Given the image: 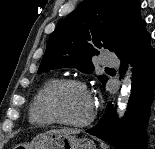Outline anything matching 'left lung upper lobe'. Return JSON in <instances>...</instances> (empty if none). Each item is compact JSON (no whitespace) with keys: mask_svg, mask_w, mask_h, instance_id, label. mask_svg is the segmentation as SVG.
I'll list each match as a JSON object with an SVG mask.
<instances>
[{"mask_svg":"<svg viewBox=\"0 0 155 149\" xmlns=\"http://www.w3.org/2000/svg\"><path fill=\"white\" fill-rule=\"evenodd\" d=\"M140 8L138 0H85L50 35L38 73L66 67L92 73L93 55L101 48L116 52L140 29Z\"/></svg>","mask_w":155,"mask_h":149,"instance_id":"5c2ea615","label":"left lung upper lobe"}]
</instances>
